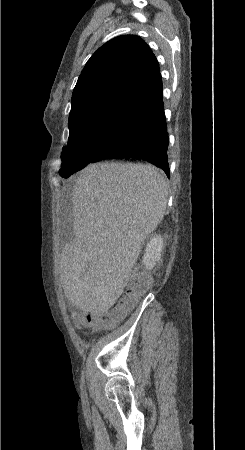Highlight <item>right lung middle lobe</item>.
Wrapping results in <instances>:
<instances>
[{"instance_id":"dd1d6c3e","label":"right lung middle lobe","mask_w":245,"mask_h":450,"mask_svg":"<svg viewBox=\"0 0 245 450\" xmlns=\"http://www.w3.org/2000/svg\"><path fill=\"white\" fill-rule=\"evenodd\" d=\"M138 111L119 105L85 107L69 118L68 146L62 153L63 178L84 168L99 153H106L128 135Z\"/></svg>"}]
</instances>
